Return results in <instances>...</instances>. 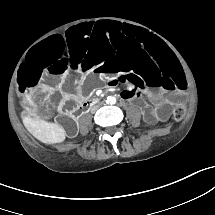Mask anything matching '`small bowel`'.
Wrapping results in <instances>:
<instances>
[{
	"instance_id": "obj_1",
	"label": "small bowel",
	"mask_w": 215,
	"mask_h": 215,
	"mask_svg": "<svg viewBox=\"0 0 215 215\" xmlns=\"http://www.w3.org/2000/svg\"><path fill=\"white\" fill-rule=\"evenodd\" d=\"M121 96L123 99H131L134 95L122 93Z\"/></svg>"
}]
</instances>
